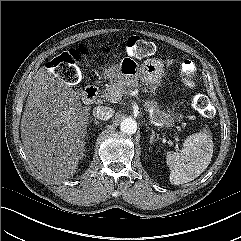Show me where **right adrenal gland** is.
Wrapping results in <instances>:
<instances>
[{"label":"right adrenal gland","instance_id":"2a0ac1e0","mask_svg":"<svg viewBox=\"0 0 241 241\" xmlns=\"http://www.w3.org/2000/svg\"><path fill=\"white\" fill-rule=\"evenodd\" d=\"M92 121H93L94 124H96V125H99V124H100V122H99L98 120L94 119V118H91L90 123H91Z\"/></svg>","mask_w":241,"mask_h":241}]
</instances>
